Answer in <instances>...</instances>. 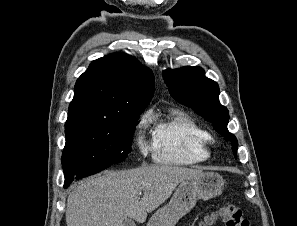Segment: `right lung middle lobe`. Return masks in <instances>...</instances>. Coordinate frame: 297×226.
I'll return each mask as SVG.
<instances>
[{
    "label": "right lung middle lobe",
    "mask_w": 297,
    "mask_h": 226,
    "mask_svg": "<svg viewBox=\"0 0 297 226\" xmlns=\"http://www.w3.org/2000/svg\"><path fill=\"white\" fill-rule=\"evenodd\" d=\"M145 107H128L117 122L74 120L65 123L66 144L62 155L65 179L103 170L127 158L136 121Z\"/></svg>",
    "instance_id": "1"
}]
</instances>
